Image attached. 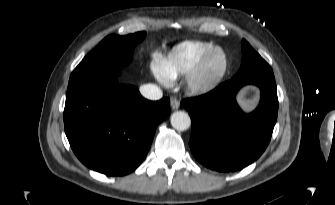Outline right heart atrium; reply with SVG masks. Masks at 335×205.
<instances>
[{
  "mask_svg": "<svg viewBox=\"0 0 335 205\" xmlns=\"http://www.w3.org/2000/svg\"><path fill=\"white\" fill-rule=\"evenodd\" d=\"M152 71L160 83L164 85H169L171 83L172 78L165 71L163 61H161L159 58L154 60L152 64Z\"/></svg>",
  "mask_w": 335,
  "mask_h": 205,
  "instance_id": "d8ad5b80",
  "label": "right heart atrium"
}]
</instances>
